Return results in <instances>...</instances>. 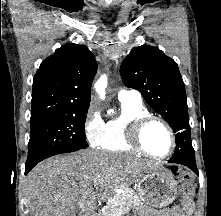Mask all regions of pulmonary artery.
<instances>
[{"instance_id": "pulmonary-artery-1", "label": "pulmonary artery", "mask_w": 221, "mask_h": 216, "mask_svg": "<svg viewBox=\"0 0 221 216\" xmlns=\"http://www.w3.org/2000/svg\"><path fill=\"white\" fill-rule=\"evenodd\" d=\"M118 98L120 101H125V100H140V93L136 90H127V89H122L118 93Z\"/></svg>"}]
</instances>
